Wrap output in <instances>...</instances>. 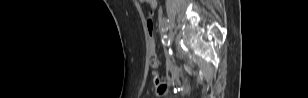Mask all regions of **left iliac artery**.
I'll use <instances>...</instances> for the list:
<instances>
[{"label":"left iliac artery","mask_w":308,"mask_h":98,"mask_svg":"<svg viewBox=\"0 0 308 98\" xmlns=\"http://www.w3.org/2000/svg\"><path fill=\"white\" fill-rule=\"evenodd\" d=\"M168 23H169V20L167 18H162L159 21L160 27L162 29H167L168 28Z\"/></svg>","instance_id":"obj_1"}]
</instances>
